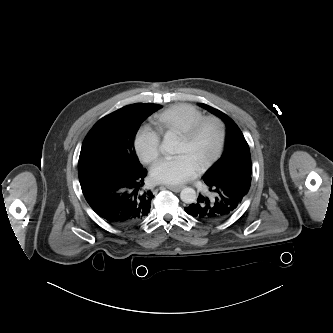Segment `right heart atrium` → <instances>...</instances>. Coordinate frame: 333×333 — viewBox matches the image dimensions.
I'll return each mask as SVG.
<instances>
[{"label": "right heart atrium", "mask_w": 333, "mask_h": 333, "mask_svg": "<svg viewBox=\"0 0 333 333\" xmlns=\"http://www.w3.org/2000/svg\"><path fill=\"white\" fill-rule=\"evenodd\" d=\"M135 150L145 164L154 163L160 155V137L150 128H141L135 137Z\"/></svg>", "instance_id": "right-heart-atrium-1"}]
</instances>
